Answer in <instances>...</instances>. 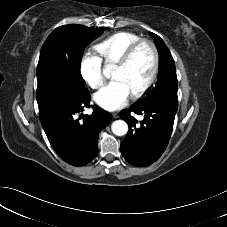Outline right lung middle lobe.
<instances>
[{"instance_id": "dd1d6c3e", "label": "right lung middle lobe", "mask_w": 227, "mask_h": 227, "mask_svg": "<svg viewBox=\"0 0 227 227\" xmlns=\"http://www.w3.org/2000/svg\"><path fill=\"white\" fill-rule=\"evenodd\" d=\"M104 32L69 24L56 28L44 42L37 66L38 106L61 95L84 89L80 73L83 51L88 44Z\"/></svg>"}]
</instances>
